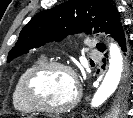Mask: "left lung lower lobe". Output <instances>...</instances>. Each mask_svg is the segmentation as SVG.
<instances>
[{
  "mask_svg": "<svg viewBox=\"0 0 133 118\" xmlns=\"http://www.w3.org/2000/svg\"><path fill=\"white\" fill-rule=\"evenodd\" d=\"M120 45L121 50L124 52V55L126 57V71H125V77H124V81L122 83L121 88H126L131 86V82H133L132 80V70H131V66H132V62H133V50L131 49V46L129 44V41L126 39L122 24H120L119 26L116 27V29L114 30V32L111 35ZM106 49V47H104L101 52H104Z\"/></svg>",
  "mask_w": 133,
  "mask_h": 118,
  "instance_id": "left-lung-lower-lobe-1",
  "label": "left lung lower lobe"
}]
</instances>
